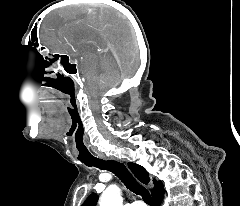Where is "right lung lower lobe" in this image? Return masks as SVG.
<instances>
[{"label":"right lung lower lobe","mask_w":240,"mask_h":206,"mask_svg":"<svg viewBox=\"0 0 240 206\" xmlns=\"http://www.w3.org/2000/svg\"><path fill=\"white\" fill-rule=\"evenodd\" d=\"M163 196H164V193L158 195V196H155L153 197V202H154V206H160V203L163 199Z\"/></svg>","instance_id":"obj_1"}]
</instances>
